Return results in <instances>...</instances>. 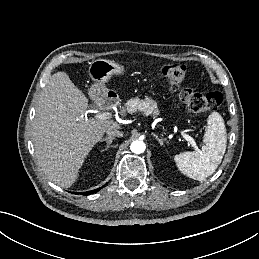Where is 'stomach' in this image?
<instances>
[{"instance_id": "1", "label": "stomach", "mask_w": 259, "mask_h": 259, "mask_svg": "<svg viewBox=\"0 0 259 259\" xmlns=\"http://www.w3.org/2000/svg\"><path fill=\"white\" fill-rule=\"evenodd\" d=\"M125 69L122 65L115 61L106 59H97L90 63L88 73L94 84L90 88V95L104 93L105 83L108 82L112 76L124 74ZM154 111L158 114L159 109L157 105L154 106Z\"/></svg>"}]
</instances>
